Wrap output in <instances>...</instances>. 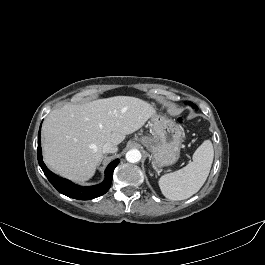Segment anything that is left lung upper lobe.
Wrapping results in <instances>:
<instances>
[{"mask_svg": "<svg viewBox=\"0 0 265 265\" xmlns=\"http://www.w3.org/2000/svg\"><path fill=\"white\" fill-rule=\"evenodd\" d=\"M190 105H192L193 108L197 109V106L196 105H194L192 103H190Z\"/></svg>", "mask_w": 265, "mask_h": 265, "instance_id": "obj_1", "label": "left lung upper lobe"}]
</instances>
